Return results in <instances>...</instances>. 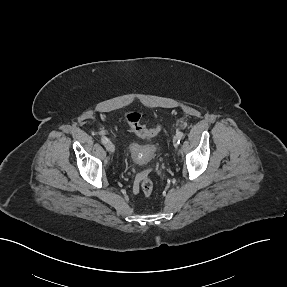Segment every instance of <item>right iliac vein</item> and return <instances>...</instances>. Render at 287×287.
I'll return each mask as SVG.
<instances>
[{
	"instance_id": "1",
	"label": "right iliac vein",
	"mask_w": 287,
	"mask_h": 287,
	"mask_svg": "<svg viewBox=\"0 0 287 287\" xmlns=\"http://www.w3.org/2000/svg\"><path fill=\"white\" fill-rule=\"evenodd\" d=\"M105 148L107 149L108 152L113 153L115 151V146L111 141H108L105 144Z\"/></svg>"
}]
</instances>
